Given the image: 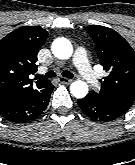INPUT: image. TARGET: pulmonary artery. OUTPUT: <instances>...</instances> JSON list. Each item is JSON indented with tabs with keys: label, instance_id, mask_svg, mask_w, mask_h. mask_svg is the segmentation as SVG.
Returning <instances> with one entry per match:
<instances>
[{
	"label": "pulmonary artery",
	"instance_id": "obj_1",
	"mask_svg": "<svg viewBox=\"0 0 135 165\" xmlns=\"http://www.w3.org/2000/svg\"><path fill=\"white\" fill-rule=\"evenodd\" d=\"M72 64L77 68L81 77L91 85H94L97 80L89 65L87 53L84 48L79 47L75 50L72 57Z\"/></svg>",
	"mask_w": 135,
	"mask_h": 165
}]
</instances>
